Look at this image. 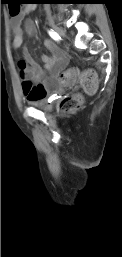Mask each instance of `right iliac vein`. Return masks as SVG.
Returning <instances> with one entry per match:
<instances>
[{
    "label": "right iliac vein",
    "mask_w": 122,
    "mask_h": 257,
    "mask_svg": "<svg viewBox=\"0 0 122 257\" xmlns=\"http://www.w3.org/2000/svg\"><path fill=\"white\" fill-rule=\"evenodd\" d=\"M48 23L57 34H59L60 36H65L66 34L65 30L59 27L58 25H56L52 18H48Z\"/></svg>",
    "instance_id": "1"
}]
</instances>
